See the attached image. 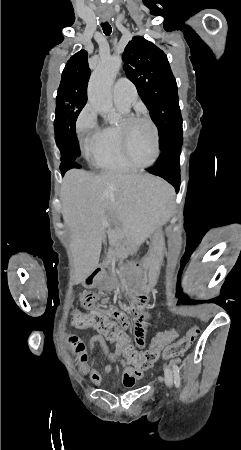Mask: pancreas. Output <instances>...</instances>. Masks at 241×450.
Returning <instances> with one entry per match:
<instances>
[{"instance_id":"pancreas-1","label":"pancreas","mask_w":241,"mask_h":450,"mask_svg":"<svg viewBox=\"0 0 241 450\" xmlns=\"http://www.w3.org/2000/svg\"><path fill=\"white\" fill-rule=\"evenodd\" d=\"M112 232L116 234L115 240H120L121 236L122 238H127V230H112Z\"/></svg>"}]
</instances>
